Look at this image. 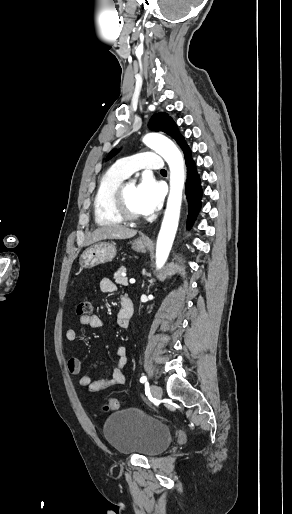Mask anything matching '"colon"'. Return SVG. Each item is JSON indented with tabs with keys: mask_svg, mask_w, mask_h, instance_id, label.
<instances>
[{
	"mask_svg": "<svg viewBox=\"0 0 292 514\" xmlns=\"http://www.w3.org/2000/svg\"><path fill=\"white\" fill-rule=\"evenodd\" d=\"M91 311V302L88 299L80 300L77 303L76 312L78 315H88ZM120 401L116 398L107 399L103 405L102 410L104 412H116L119 409Z\"/></svg>",
	"mask_w": 292,
	"mask_h": 514,
	"instance_id": "obj_1",
	"label": "colon"
}]
</instances>
